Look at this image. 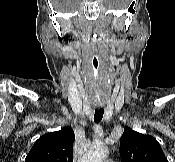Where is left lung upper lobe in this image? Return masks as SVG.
<instances>
[{"instance_id":"left-lung-upper-lobe-1","label":"left lung upper lobe","mask_w":175,"mask_h":162,"mask_svg":"<svg viewBox=\"0 0 175 162\" xmlns=\"http://www.w3.org/2000/svg\"><path fill=\"white\" fill-rule=\"evenodd\" d=\"M119 152L123 162H168L160 144L150 135L125 127Z\"/></svg>"}]
</instances>
